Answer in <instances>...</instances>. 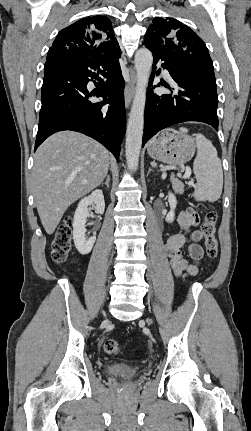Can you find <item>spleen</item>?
Listing matches in <instances>:
<instances>
[{
	"label": "spleen",
	"mask_w": 251,
	"mask_h": 431,
	"mask_svg": "<svg viewBox=\"0 0 251 431\" xmlns=\"http://www.w3.org/2000/svg\"><path fill=\"white\" fill-rule=\"evenodd\" d=\"M180 131L186 133L188 129L181 127ZM196 146L193 171L197 183L193 196L197 201H217L223 188V171L217 150L202 134H196Z\"/></svg>",
	"instance_id": "1"
}]
</instances>
